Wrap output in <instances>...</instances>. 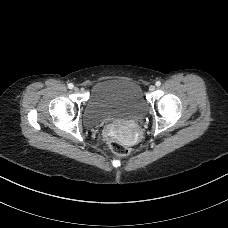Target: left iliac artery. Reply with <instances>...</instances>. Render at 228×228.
Here are the masks:
<instances>
[{
    "instance_id": "1",
    "label": "left iliac artery",
    "mask_w": 228,
    "mask_h": 228,
    "mask_svg": "<svg viewBox=\"0 0 228 228\" xmlns=\"http://www.w3.org/2000/svg\"><path fill=\"white\" fill-rule=\"evenodd\" d=\"M161 85V82L160 81H157L156 82V86H160Z\"/></svg>"
}]
</instances>
